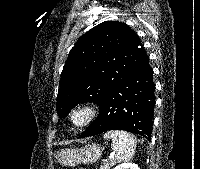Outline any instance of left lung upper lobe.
Masks as SVG:
<instances>
[{
  "label": "left lung upper lobe",
  "mask_w": 200,
  "mask_h": 169,
  "mask_svg": "<svg viewBox=\"0 0 200 169\" xmlns=\"http://www.w3.org/2000/svg\"><path fill=\"white\" fill-rule=\"evenodd\" d=\"M139 37L125 23L103 22L81 36L63 67L57 113L78 103L101 104L106 94L145 57Z\"/></svg>",
  "instance_id": "5c2ea615"
}]
</instances>
